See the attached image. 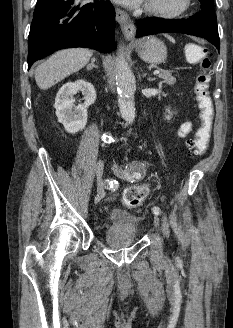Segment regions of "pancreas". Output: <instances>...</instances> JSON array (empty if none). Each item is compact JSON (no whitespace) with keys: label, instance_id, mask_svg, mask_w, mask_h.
Masks as SVG:
<instances>
[{"label":"pancreas","instance_id":"cf45deb5","mask_svg":"<svg viewBox=\"0 0 233 328\" xmlns=\"http://www.w3.org/2000/svg\"><path fill=\"white\" fill-rule=\"evenodd\" d=\"M158 77L163 79V81L168 85H173L176 82V78L169 72L160 73Z\"/></svg>","mask_w":233,"mask_h":328}]
</instances>
